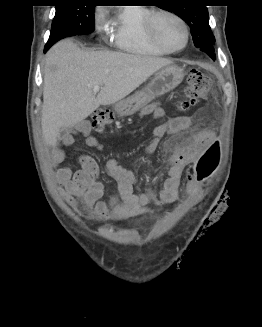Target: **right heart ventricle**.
I'll return each instance as SVG.
<instances>
[{"mask_svg":"<svg viewBox=\"0 0 262 327\" xmlns=\"http://www.w3.org/2000/svg\"><path fill=\"white\" fill-rule=\"evenodd\" d=\"M151 10L144 7H123L110 22L112 43L133 54L163 56L169 52L156 45L145 29Z\"/></svg>","mask_w":262,"mask_h":327,"instance_id":"1","label":"right heart ventricle"}]
</instances>
